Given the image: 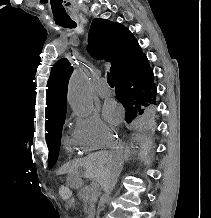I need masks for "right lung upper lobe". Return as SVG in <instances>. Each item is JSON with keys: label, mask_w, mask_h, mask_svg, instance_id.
<instances>
[{"label": "right lung upper lobe", "mask_w": 211, "mask_h": 218, "mask_svg": "<svg viewBox=\"0 0 211 218\" xmlns=\"http://www.w3.org/2000/svg\"><path fill=\"white\" fill-rule=\"evenodd\" d=\"M88 42V51L93 57L103 58L111 63L112 76L119 66L134 60L142 53L138 42L127 28L105 19L93 20ZM72 71V66L65 58L60 59L51 69L46 99L45 127L48 133L65 116L67 86Z\"/></svg>", "instance_id": "cb5924a9"}]
</instances>
